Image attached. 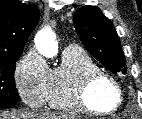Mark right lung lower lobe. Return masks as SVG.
<instances>
[{
  "mask_svg": "<svg viewBox=\"0 0 142 119\" xmlns=\"http://www.w3.org/2000/svg\"><path fill=\"white\" fill-rule=\"evenodd\" d=\"M5 108H8V107H6V106H0V109H5Z\"/></svg>",
  "mask_w": 142,
  "mask_h": 119,
  "instance_id": "98d812e1",
  "label": "right lung lower lobe"
}]
</instances>
